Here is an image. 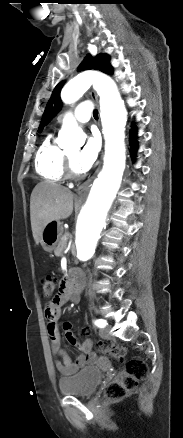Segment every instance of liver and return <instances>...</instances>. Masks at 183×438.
<instances>
[{
  "label": "liver",
  "instance_id": "liver-1",
  "mask_svg": "<svg viewBox=\"0 0 183 438\" xmlns=\"http://www.w3.org/2000/svg\"><path fill=\"white\" fill-rule=\"evenodd\" d=\"M73 198L70 190L55 183L41 182L35 186L30 199V218L36 244L47 224L72 214Z\"/></svg>",
  "mask_w": 183,
  "mask_h": 438
}]
</instances>
